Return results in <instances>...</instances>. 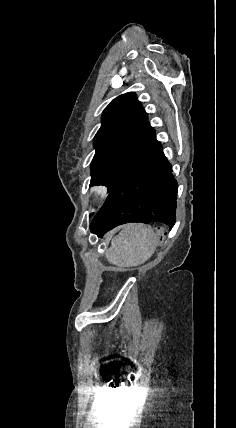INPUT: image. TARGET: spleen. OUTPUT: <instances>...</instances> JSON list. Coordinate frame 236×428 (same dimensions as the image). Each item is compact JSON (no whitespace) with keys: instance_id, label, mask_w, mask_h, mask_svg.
<instances>
[{"instance_id":"spleen-1","label":"spleen","mask_w":236,"mask_h":428,"mask_svg":"<svg viewBox=\"0 0 236 428\" xmlns=\"http://www.w3.org/2000/svg\"><path fill=\"white\" fill-rule=\"evenodd\" d=\"M156 240L151 226L126 224L120 234L113 238L106 258L114 266H140L151 258Z\"/></svg>"}]
</instances>
